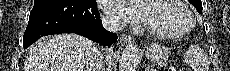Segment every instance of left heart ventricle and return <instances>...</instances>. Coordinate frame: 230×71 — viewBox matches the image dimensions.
<instances>
[{"label": "left heart ventricle", "mask_w": 230, "mask_h": 71, "mask_svg": "<svg viewBox=\"0 0 230 71\" xmlns=\"http://www.w3.org/2000/svg\"><path fill=\"white\" fill-rule=\"evenodd\" d=\"M145 23L154 30L178 32L188 24L183 9L172 0L143 1Z\"/></svg>", "instance_id": "1"}]
</instances>
